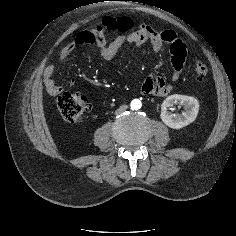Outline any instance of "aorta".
<instances>
[{"label": "aorta", "mask_w": 236, "mask_h": 236, "mask_svg": "<svg viewBox=\"0 0 236 236\" xmlns=\"http://www.w3.org/2000/svg\"><path fill=\"white\" fill-rule=\"evenodd\" d=\"M130 106L133 110H139L142 107V102L139 99H133Z\"/></svg>", "instance_id": "1"}]
</instances>
